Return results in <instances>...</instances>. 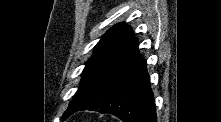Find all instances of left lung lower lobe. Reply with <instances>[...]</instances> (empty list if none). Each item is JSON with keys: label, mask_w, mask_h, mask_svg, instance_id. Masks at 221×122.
Segmentation results:
<instances>
[{"label": "left lung lower lobe", "mask_w": 221, "mask_h": 122, "mask_svg": "<svg viewBox=\"0 0 221 122\" xmlns=\"http://www.w3.org/2000/svg\"><path fill=\"white\" fill-rule=\"evenodd\" d=\"M137 46V39L131 37L114 69L95 94L77 111L110 113L125 122H156L146 61L138 53Z\"/></svg>", "instance_id": "1"}]
</instances>
